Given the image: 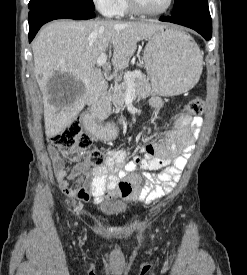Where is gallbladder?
I'll use <instances>...</instances> for the list:
<instances>
[{
  "mask_svg": "<svg viewBox=\"0 0 247 275\" xmlns=\"http://www.w3.org/2000/svg\"><path fill=\"white\" fill-rule=\"evenodd\" d=\"M80 86L71 75L56 72L47 82V92L54 96H75L77 92H82V89L79 90Z\"/></svg>",
  "mask_w": 247,
  "mask_h": 275,
  "instance_id": "obj_1",
  "label": "gallbladder"
}]
</instances>
